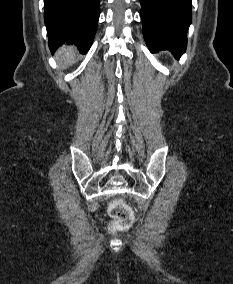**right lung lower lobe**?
<instances>
[{"mask_svg": "<svg viewBox=\"0 0 233 284\" xmlns=\"http://www.w3.org/2000/svg\"><path fill=\"white\" fill-rule=\"evenodd\" d=\"M100 0H44V21L49 48L77 45L80 53L90 49L97 29Z\"/></svg>", "mask_w": 233, "mask_h": 284, "instance_id": "98d812e1", "label": "right lung lower lobe"}]
</instances>
